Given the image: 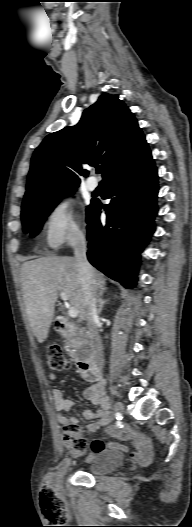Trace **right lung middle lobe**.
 I'll return each instance as SVG.
<instances>
[{
  "label": "right lung middle lobe",
  "mask_w": 192,
  "mask_h": 527,
  "mask_svg": "<svg viewBox=\"0 0 192 527\" xmlns=\"http://www.w3.org/2000/svg\"><path fill=\"white\" fill-rule=\"evenodd\" d=\"M75 190L67 191L40 203L22 207L21 216L24 231L29 232L31 237L35 236L40 231L46 217L52 212L60 199L72 194Z\"/></svg>",
  "instance_id": "right-lung-middle-lobe-1"
}]
</instances>
